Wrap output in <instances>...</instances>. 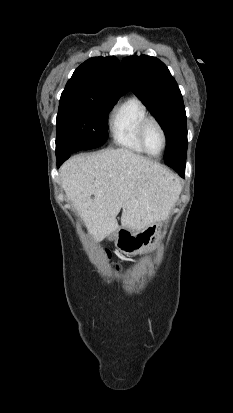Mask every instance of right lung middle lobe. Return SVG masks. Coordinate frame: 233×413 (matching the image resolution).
<instances>
[{
    "label": "right lung middle lobe",
    "instance_id": "1",
    "mask_svg": "<svg viewBox=\"0 0 233 413\" xmlns=\"http://www.w3.org/2000/svg\"><path fill=\"white\" fill-rule=\"evenodd\" d=\"M118 99L61 95L56 125V156L99 147L107 140V115Z\"/></svg>",
    "mask_w": 233,
    "mask_h": 413
}]
</instances>
